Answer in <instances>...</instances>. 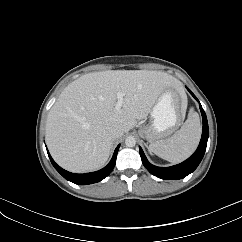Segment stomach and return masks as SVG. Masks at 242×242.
Listing matches in <instances>:
<instances>
[{"mask_svg": "<svg viewBox=\"0 0 242 242\" xmlns=\"http://www.w3.org/2000/svg\"><path fill=\"white\" fill-rule=\"evenodd\" d=\"M186 103V96L175 89L163 91L152 108V122L140 131L141 135L153 144L173 133L184 119Z\"/></svg>", "mask_w": 242, "mask_h": 242, "instance_id": "obj_1", "label": "stomach"}]
</instances>
